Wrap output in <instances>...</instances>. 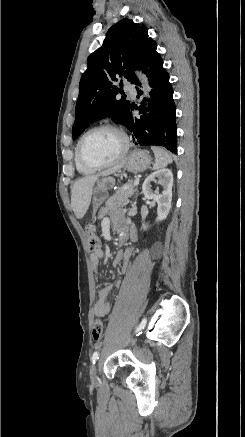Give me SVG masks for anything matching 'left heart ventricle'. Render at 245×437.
<instances>
[{
	"label": "left heart ventricle",
	"instance_id": "1",
	"mask_svg": "<svg viewBox=\"0 0 245 437\" xmlns=\"http://www.w3.org/2000/svg\"><path fill=\"white\" fill-rule=\"evenodd\" d=\"M121 136L112 130H98L89 134L82 144L84 157L94 163H105L116 158L121 152Z\"/></svg>",
	"mask_w": 245,
	"mask_h": 437
}]
</instances>
